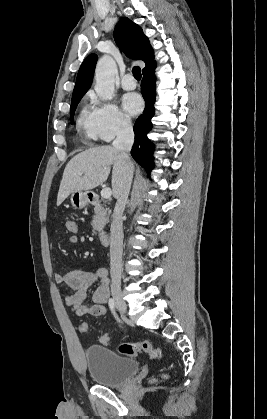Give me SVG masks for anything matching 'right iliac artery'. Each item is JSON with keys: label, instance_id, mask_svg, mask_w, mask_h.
Returning <instances> with one entry per match:
<instances>
[{"label": "right iliac artery", "instance_id": "right-iliac-artery-1", "mask_svg": "<svg viewBox=\"0 0 267 419\" xmlns=\"http://www.w3.org/2000/svg\"><path fill=\"white\" fill-rule=\"evenodd\" d=\"M108 304H109V308H110L112 314L120 322V320H119V318H118V316L116 314V311H115V302H114V300L112 298H110Z\"/></svg>", "mask_w": 267, "mask_h": 419}]
</instances>
